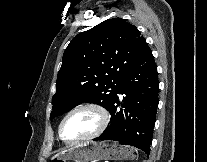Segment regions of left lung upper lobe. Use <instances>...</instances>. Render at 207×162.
Returning <instances> with one entry per match:
<instances>
[{
  "label": "left lung upper lobe",
  "instance_id": "obj_1",
  "mask_svg": "<svg viewBox=\"0 0 207 162\" xmlns=\"http://www.w3.org/2000/svg\"><path fill=\"white\" fill-rule=\"evenodd\" d=\"M149 50L138 29L121 18L75 36L63 55L50 119L83 102L109 110L122 80Z\"/></svg>",
  "mask_w": 207,
  "mask_h": 162
}]
</instances>
